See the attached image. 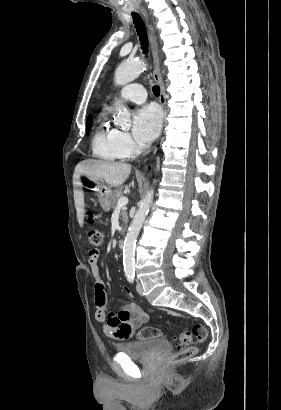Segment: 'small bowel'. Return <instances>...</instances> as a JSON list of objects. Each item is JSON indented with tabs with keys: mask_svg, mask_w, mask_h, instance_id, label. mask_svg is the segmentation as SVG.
Instances as JSON below:
<instances>
[{
	"mask_svg": "<svg viewBox=\"0 0 281 410\" xmlns=\"http://www.w3.org/2000/svg\"><path fill=\"white\" fill-rule=\"evenodd\" d=\"M100 253L98 249L89 251V266L94 279V301L96 306L95 317L103 323V331L109 337L117 340H128L132 337L134 330L147 323L149 312L143 310L135 303L125 305L118 314L107 315V296L105 282L101 278L99 269ZM124 294L131 298L132 292L128 287L124 288Z\"/></svg>",
	"mask_w": 281,
	"mask_h": 410,
	"instance_id": "c3829d8e",
	"label": "small bowel"
}]
</instances>
